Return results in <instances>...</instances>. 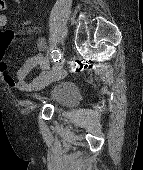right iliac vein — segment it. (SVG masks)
Returning a JSON list of instances; mask_svg holds the SVG:
<instances>
[{"label": "right iliac vein", "instance_id": "right-iliac-vein-1", "mask_svg": "<svg viewBox=\"0 0 143 170\" xmlns=\"http://www.w3.org/2000/svg\"><path fill=\"white\" fill-rule=\"evenodd\" d=\"M65 59H60L53 67V69L48 73L47 83L56 81L62 77V67L64 65Z\"/></svg>", "mask_w": 143, "mask_h": 170}]
</instances>
